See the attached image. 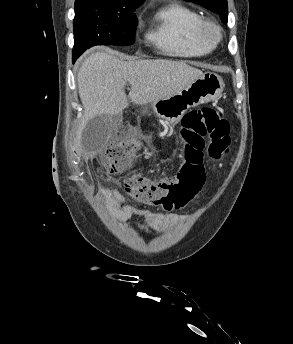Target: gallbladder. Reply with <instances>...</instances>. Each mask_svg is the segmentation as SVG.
I'll list each match as a JSON object with an SVG mask.
<instances>
[{"label": "gallbladder", "instance_id": "obj_1", "mask_svg": "<svg viewBox=\"0 0 293 344\" xmlns=\"http://www.w3.org/2000/svg\"><path fill=\"white\" fill-rule=\"evenodd\" d=\"M110 127V117L102 114L91 118L85 125L81 143L85 152L94 153L107 142Z\"/></svg>", "mask_w": 293, "mask_h": 344}]
</instances>
